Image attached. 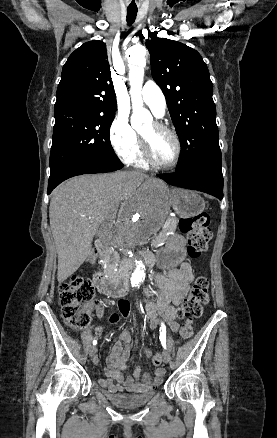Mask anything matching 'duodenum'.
<instances>
[{
    "label": "duodenum",
    "instance_id": "410a0bca",
    "mask_svg": "<svg viewBox=\"0 0 277 438\" xmlns=\"http://www.w3.org/2000/svg\"><path fill=\"white\" fill-rule=\"evenodd\" d=\"M96 247L102 253L106 251V246L102 241H98ZM137 259L143 260L149 266H153L156 263V256L148 251L128 257L120 263L118 274H109L106 271H100L96 274L94 284L97 290L111 297L125 295L129 288L128 273L133 268Z\"/></svg>",
    "mask_w": 277,
    "mask_h": 438
}]
</instances>
